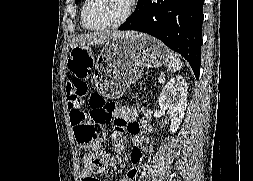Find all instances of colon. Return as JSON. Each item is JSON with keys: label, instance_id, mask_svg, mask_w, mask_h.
I'll return each instance as SVG.
<instances>
[{"label": "colon", "instance_id": "1", "mask_svg": "<svg viewBox=\"0 0 253 181\" xmlns=\"http://www.w3.org/2000/svg\"><path fill=\"white\" fill-rule=\"evenodd\" d=\"M81 53H92V48H73L69 60L71 79L78 72ZM68 96L75 140L79 146L89 149L85 165L92 171H101L109 162V154L102 147L103 125L111 121L114 106L95 93L86 99L87 93L75 92L72 84L68 86Z\"/></svg>", "mask_w": 253, "mask_h": 181}]
</instances>
